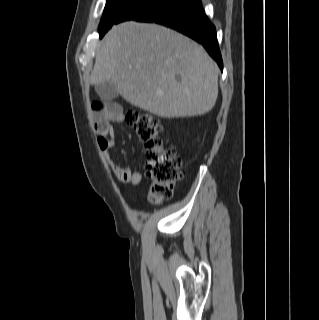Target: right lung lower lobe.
I'll list each match as a JSON object with an SVG mask.
<instances>
[{
    "mask_svg": "<svg viewBox=\"0 0 319 320\" xmlns=\"http://www.w3.org/2000/svg\"><path fill=\"white\" fill-rule=\"evenodd\" d=\"M134 20L159 23L191 37L202 44L221 70L223 69L216 29L207 19L201 0H176L168 6L147 12Z\"/></svg>",
    "mask_w": 319,
    "mask_h": 320,
    "instance_id": "1",
    "label": "right lung lower lobe"
}]
</instances>
